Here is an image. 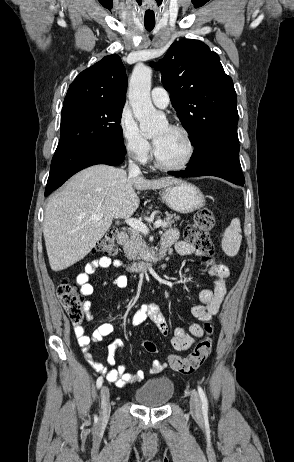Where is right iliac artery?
<instances>
[{
  "label": "right iliac artery",
  "mask_w": 294,
  "mask_h": 462,
  "mask_svg": "<svg viewBox=\"0 0 294 462\" xmlns=\"http://www.w3.org/2000/svg\"><path fill=\"white\" fill-rule=\"evenodd\" d=\"M102 383H103V377L100 376L96 382L97 388H100L102 386Z\"/></svg>",
  "instance_id": "1"
}]
</instances>
